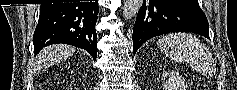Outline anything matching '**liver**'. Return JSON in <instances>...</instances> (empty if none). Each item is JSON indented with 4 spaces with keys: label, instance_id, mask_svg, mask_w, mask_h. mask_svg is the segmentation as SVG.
I'll return each mask as SVG.
<instances>
[{
    "label": "liver",
    "instance_id": "liver-1",
    "mask_svg": "<svg viewBox=\"0 0 237 90\" xmlns=\"http://www.w3.org/2000/svg\"><path fill=\"white\" fill-rule=\"evenodd\" d=\"M73 52L75 48H69V46H49L40 52L38 64L39 66H54L58 60L72 56Z\"/></svg>",
    "mask_w": 237,
    "mask_h": 90
}]
</instances>
